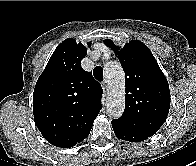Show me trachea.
<instances>
[{"label":"trachea","instance_id":"trachea-1","mask_svg":"<svg viewBox=\"0 0 196 166\" xmlns=\"http://www.w3.org/2000/svg\"><path fill=\"white\" fill-rule=\"evenodd\" d=\"M93 75L98 81H103V69L102 67H96L93 70Z\"/></svg>","mask_w":196,"mask_h":166}]
</instances>
